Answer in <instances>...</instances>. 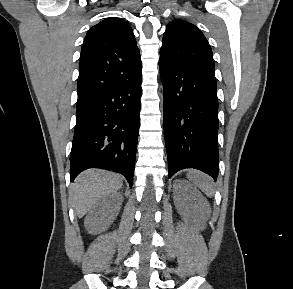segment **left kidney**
<instances>
[{
  "label": "left kidney",
  "instance_id": "5707ae66",
  "mask_svg": "<svg viewBox=\"0 0 293 289\" xmlns=\"http://www.w3.org/2000/svg\"><path fill=\"white\" fill-rule=\"evenodd\" d=\"M174 201L176 208L183 218L192 216L197 225L206 223L211 208L204 196L190 183L175 180Z\"/></svg>",
  "mask_w": 293,
  "mask_h": 289
}]
</instances>
